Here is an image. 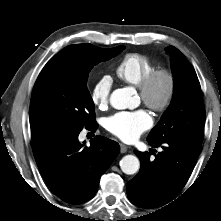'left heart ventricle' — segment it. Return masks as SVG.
<instances>
[{
	"instance_id": "obj_1",
	"label": "left heart ventricle",
	"mask_w": 221,
	"mask_h": 221,
	"mask_svg": "<svg viewBox=\"0 0 221 221\" xmlns=\"http://www.w3.org/2000/svg\"><path fill=\"white\" fill-rule=\"evenodd\" d=\"M165 89H166V82L164 79H160L154 89H153V97L156 101H160L165 93Z\"/></svg>"
}]
</instances>
